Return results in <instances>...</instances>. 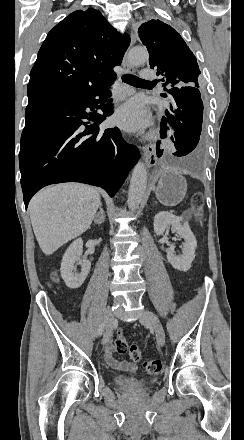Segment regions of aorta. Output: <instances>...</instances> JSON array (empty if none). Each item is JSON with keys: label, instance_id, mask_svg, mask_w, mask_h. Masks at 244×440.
<instances>
[{"label": "aorta", "instance_id": "aorta-1", "mask_svg": "<svg viewBox=\"0 0 244 440\" xmlns=\"http://www.w3.org/2000/svg\"><path fill=\"white\" fill-rule=\"evenodd\" d=\"M148 59V52L145 48L134 47L128 53V62L132 66L144 63ZM147 187V169L143 162L139 161L132 172L129 193L128 207L131 211L138 208Z\"/></svg>", "mask_w": 244, "mask_h": 440}]
</instances>
